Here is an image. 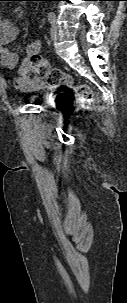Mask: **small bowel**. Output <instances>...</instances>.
Returning <instances> with one entry per match:
<instances>
[{
    "label": "small bowel",
    "mask_w": 127,
    "mask_h": 303,
    "mask_svg": "<svg viewBox=\"0 0 127 303\" xmlns=\"http://www.w3.org/2000/svg\"><path fill=\"white\" fill-rule=\"evenodd\" d=\"M18 34V26L0 15V64L7 69H15L19 63L18 54L8 48ZM40 49L39 41L31 43L26 48V57L21 61L18 67V77L14 80V85L18 90L35 91L43 86V80L35 74L30 63V55L34 52L39 53Z\"/></svg>",
    "instance_id": "1"
}]
</instances>
